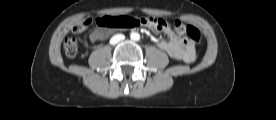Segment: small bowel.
Masks as SVG:
<instances>
[{"label":"small bowel","instance_id":"c3829d8e","mask_svg":"<svg viewBox=\"0 0 276 120\" xmlns=\"http://www.w3.org/2000/svg\"><path fill=\"white\" fill-rule=\"evenodd\" d=\"M153 30L162 32L168 36V41L158 40L156 42L159 49L166 52L171 58L175 60H180L185 63H191L195 60V46L192 41L183 40L179 38L175 33L171 30L168 24L165 22L164 26L161 29H155L151 25H148ZM75 32L81 31L76 27ZM106 37V33L101 30H94L90 34V40L92 42H97Z\"/></svg>","mask_w":276,"mask_h":120}]
</instances>
